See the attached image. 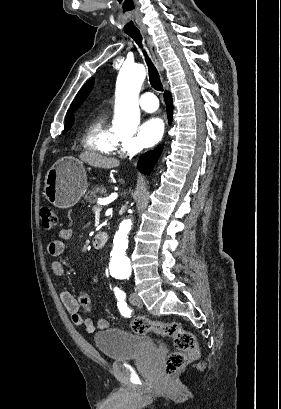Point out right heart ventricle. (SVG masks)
Here are the masks:
<instances>
[{"label": "right heart ventricle", "instance_id": "1", "mask_svg": "<svg viewBox=\"0 0 281 409\" xmlns=\"http://www.w3.org/2000/svg\"><path fill=\"white\" fill-rule=\"evenodd\" d=\"M88 143L89 149L99 157L110 156L117 150L130 151L104 116H99L91 122L88 129Z\"/></svg>", "mask_w": 281, "mask_h": 409}]
</instances>
